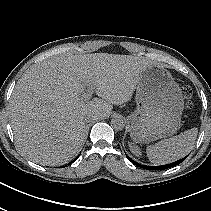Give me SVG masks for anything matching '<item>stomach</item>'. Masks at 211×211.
I'll return each mask as SVG.
<instances>
[{
  "label": "stomach",
  "mask_w": 211,
  "mask_h": 211,
  "mask_svg": "<svg viewBox=\"0 0 211 211\" xmlns=\"http://www.w3.org/2000/svg\"><path fill=\"white\" fill-rule=\"evenodd\" d=\"M136 110L128 116L131 138L142 144L170 137L181 127L184 99L171 73L156 64L140 75Z\"/></svg>",
  "instance_id": "obj_1"
}]
</instances>
